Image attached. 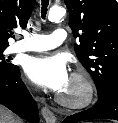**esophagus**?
<instances>
[{"label":"esophagus","instance_id":"obj_1","mask_svg":"<svg viewBox=\"0 0 118 123\" xmlns=\"http://www.w3.org/2000/svg\"><path fill=\"white\" fill-rule=\"evenodd\" d=\"M42 116L45 119L47 123H55L56 122V117L54 113L46 106L42 107Z\"/></svg>","mask_w":118,"mask_h":123}]
</instances>
